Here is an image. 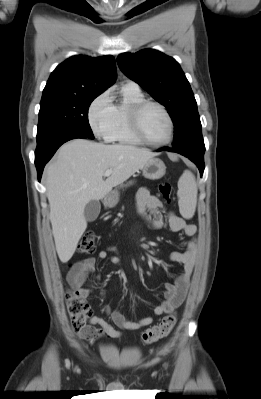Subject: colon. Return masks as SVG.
Returning a JSON list of instances; mask_svg holds the SVG:
<instances>
[{
	"instance_id": "obj_1",
	"label": "colon",
	"mask_w": 261,
	"mask_h": 399,
	"mask_svg": "<svg viewBox=\"0 0 261 399\" xmlns=\"http://www.w3.org/2000/svg\"><path fill=\"white\" fill-rule=\"evenodd\" d=\"M171 185L169 182L159 184V193L161 197L169 203L171 200ZM95 235L92 233L84 234L77 245V251L81 254H90L95 251ZM67 313L71 320L72 327L78 335H85L87 332V321L92 316L91 307L83 301L76 291L66 292ZM177 317L175 314L166 315L160 323L145 330L142 334L144 344H152L166 336L176 325Z\"/></svg>"
}]
</instances>
